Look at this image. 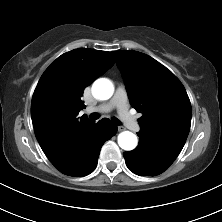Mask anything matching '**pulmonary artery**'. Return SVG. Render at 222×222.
Returning <instances> with one entry per match:
<instances>
[{
	"mask_svg": "<svg viewBox=\"0 0 222 222\" xmlns=\"http://www.w3.org/2000/svg\"><path fill=\"white\" fill-rule=\"evenodd\" d=\"M113 109H117V112L123 121V123L126 125L127 128L132 130H138L139 124L136 121L135 117L130 114L128 110V104H127V92L123 86H118L115 90L114 96L112 99L102 105H99L97 107H88L86 109L87 113L92 112H110Z\"/></svg>",
	"mask_w": 222,
	"mask_h": 222,
	"instance_id": "e3ab8cb5",
	"label": "pulmonary artery"
}]
</instances>
